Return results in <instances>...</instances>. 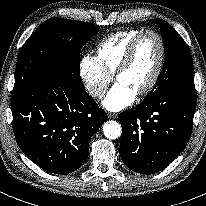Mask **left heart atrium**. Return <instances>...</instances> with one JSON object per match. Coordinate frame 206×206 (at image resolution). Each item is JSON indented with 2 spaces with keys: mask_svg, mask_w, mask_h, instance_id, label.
Returning a JSON list of instances; mask_svg holds the SVG:
<instances>
[{
  "mask_svg": "<svg viewBox=\"0 0 206 206\" xmlns=\"http://www.w3.org/2000/svg\"><path fill=\"white\" fill-rule=\"evenodd\" d=\"M135 98V92L124 84L117 82L103 99L102 105L109 111L117 112L130 106Z\"/></svg>",
  "mask_w": 206,
  "mask_h": 206,
  "instance_id": "obj_1",
  "label": "left heart atrium"
}]
</instances>
